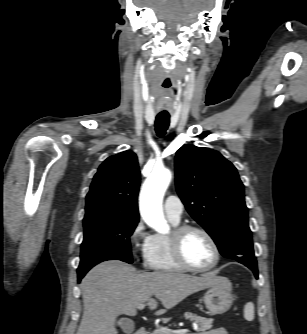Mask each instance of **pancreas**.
I'll return each mask as SVG.
<instances>
[{
	"mask_svg": "<svg viewBox=\"0 0 307 334\" xmlns=\"http://www.w3.org/2000/svg\"><path fill=\"white\" fill-rule=\"evenodd\" d=\"M184 316L186 319H189L190 321L197 324V330L199 333H196V334H203L201 332L212 328V324L214 321L212 318L201 317V316H198L190 312L185 313ZM150 334H165V333L162 330L158 329V330H154Z\"/></svg>",
	"mask_w": 307,
	"mask_h": 334,
	"instance_id": "cf45deb5",
	"label": "pancreas"
}]
</instances>
